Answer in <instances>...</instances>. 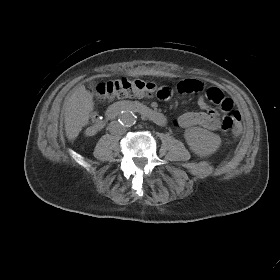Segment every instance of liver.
Instances as JSON below:
<instances>
[{
  "label": "liver",
  "instance_id": "obj_1",
  "mask_svg": "<svg viewBox=\"0 0 280 280\" xmlns=\"http://www.w3.org/2000/svg\"><path fill=\"white\" fill-rule=\"evenodd\" d=\"M65 132L69 140L75 139L88 123L93 111V96L85 86L77 87L65 102Z\"/></svg>",
  "mask_w": 280,
  "mask_h": 280
}]
</instances>
